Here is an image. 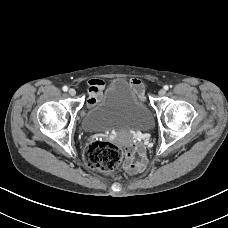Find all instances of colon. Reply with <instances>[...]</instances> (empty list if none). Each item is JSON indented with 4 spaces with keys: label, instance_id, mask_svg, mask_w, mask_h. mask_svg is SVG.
<instances>
[{
    "label": "colon",
    "instance_id": "colon-1",
    "mask_svg": "<svg viewBox=\"0 0 228 228\" xmlns=\"http://www.w3.org/2000/svg\"><path fill=\"white\" fill-rule=\"evenodd\" d=\"M122 149L107 141H94L84 153L85 163L102 173H111L122 161Z\"/></svg>",
    "mask_w": 228,
    "mask_h": 228
}]
</instances>
